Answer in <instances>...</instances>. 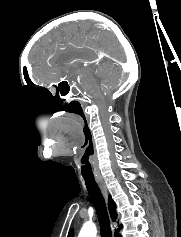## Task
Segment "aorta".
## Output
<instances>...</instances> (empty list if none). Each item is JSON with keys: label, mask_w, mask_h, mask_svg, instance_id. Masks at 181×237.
I'll return each instance as SVG.
<instances>
[{"label": "aorta", "mask_w": 181, "mask_h": 237, "mask_svg": "<svg viewBox=\"0 0 181 237\" xmlns=\"http://www.w3.org/2000/svg\"><path fill=\"white\" fill-rule=\"evenodd\" d=\"M97 228L92 223H86L83 225L78 237H96Z\"/></svg>", "instance_id": "762f6f07"}]
</instances>
